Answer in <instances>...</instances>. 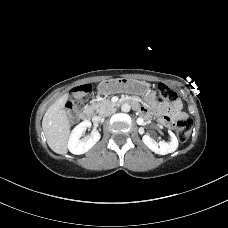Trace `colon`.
<instances>
[{
	"label": "colon",
	"instance_id": "5ec220e1",
	"mask_svg": "<svg viewBox=\"0 0 228 228\" xmlns=\"http://www.w3.org/2000/svg\"><path fill=\"white\" fill-rule=\"evenodd\" d=\"M91 86L89 84L80 85L73 90V99H71L66 108L71 113H76L82 105L89 99ZM177 93L165 84L160 83L157 87V100L160 103L174 102L177 99ZM193 122L191 119H183L178 121L176 125L177 134L180 141L185 142L191 133Z\"/></svg>",
	"mask_w": 228,
	"mask_h": 228
}]
</instances>
